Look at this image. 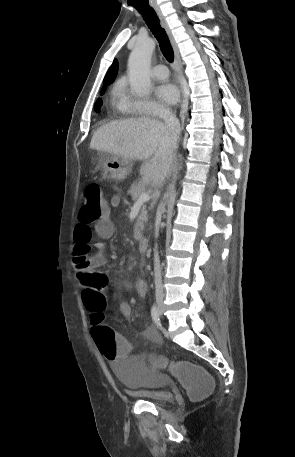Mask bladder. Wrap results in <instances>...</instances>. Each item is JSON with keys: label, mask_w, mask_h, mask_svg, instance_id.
<instances>
[{"label": "bladder", "mask_w": 295, "mask_h": 457, "mask_svg": "<svg viewBox=\"0 0 295 457\" xmlns=\"http://www.w3.org/2000/svg\"><path fill=\"white\" fill-rule=\"evenodd\" d=\"M143 356L146 358L148 355L145 353ZM150 362L156 365L153 371L147 368ZM112 367L117 378L127 389L139 391L145 398L155 403H166L172 400V394L164 388V384L169 381L167 367L159 365L158 360H143L138 358V355H134L124 361L114 362ZM160 370V375L157 376Z\"/></svg>", "instance_id": "31cf9c89"}]
</instances>
